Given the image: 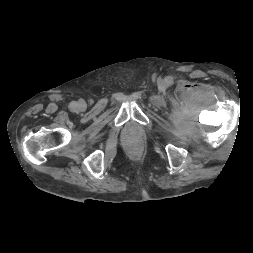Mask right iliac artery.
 <instances>
[{"label":"right iliac artery","instance_id":"82829eb1","mask_svg":"<svg viewBox=\"0 0 253 253\" xmlns=\"http://www.w3.org/2000/svg\"><path fill=\"white\" fill-rule=\"evenodd\" d=\"M70 106H71L72 108H75V107H76V102H75V101L71 102V103H70Z\"/></svg>","mask_w":253,"mask_h":253}]
</instances>
